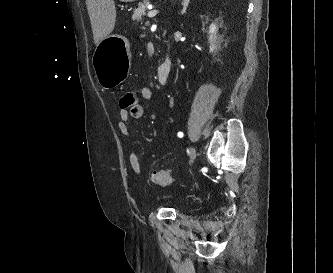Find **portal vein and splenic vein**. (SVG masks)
I'll return each mask as SVG.
<instances>
[{
	"instance_id": "1",
	"label": "portal vein and splenic vein",
	"mask_w": 333,
	"mask_h": 273,
	"mask_svg": "<svg viewBox=\"0 0 333 273\" xmlns=\"http://www.w3.org/2000/svg\"><path fill=\"white\" fill-rule=\"evenodd\" d=\"M157 14H158L157 10H151L148 12V17L152 18V17L156 16Z\"/></svg>"
}]
</instances>
